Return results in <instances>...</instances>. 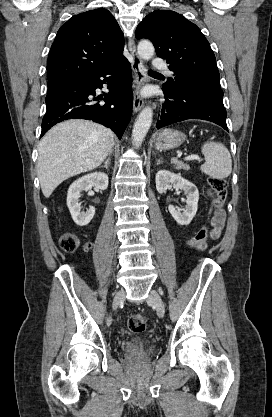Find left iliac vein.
<instances>
[{
    "label": "left iliac vein",
    "mask_w": 272,
    "mask_h": 417,
    "mask_svg": "<svg viewBox=\"0 0 272 417\" xmlns=\"http://www.w3.org/2000/svg\"><path fill=\"white\" fill-rule=\"evenodd\" d=\"M147 302L151 305H153L156 309V312L158 314L159 317H163L165 314V305L164 302L161 298V296L159 295V293L155 290H151L150 294L147 298Z\"/></svg>",
    "instance_id": "4c4485c4"
}]
</instances>
